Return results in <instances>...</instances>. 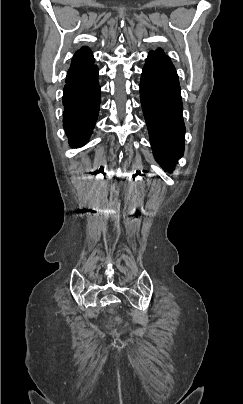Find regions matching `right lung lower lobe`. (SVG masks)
I'll return each mask as SVG.
<instances>
[{
  "mask_svg": "<svg viewBox=\"0 0 243 404\" xmlns=\"http://www.w3.org/2000/svg\"><path fill=\"white\" fill-rule=\"evenodd\" d=\"M73 61V59H72ZM63 91V127L72 147L88 142L95 126L100 104L98 68L67 76Z\"/></svg>",
  "mask_w": 243,
  "mask_h": 404,
  "instance_id": "right-lung-lower-lobe-1",
  "label": "right lung lower lobe"
}]
</instances>
